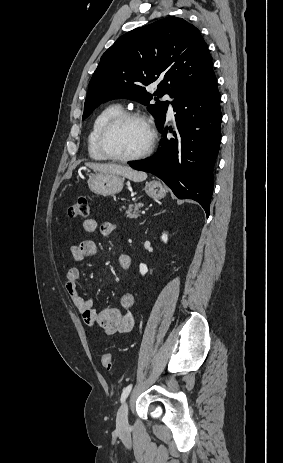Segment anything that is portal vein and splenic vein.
Wrapping results in <instances>:
<instances>
[{"label":"portal vein and splenic vein","instance_id":"18ae733b","mask_svg":"<svg viewBox=\"0 0 283 463\" xmlns=\"http://www.w3.org/2000/svg\"><path fill=\"white\" fill-rule=\"evenodd\" d=\"M142 214H145V211H142Z\"/></svg>","mask_w":283,"mask_h":463}]
</instances>
